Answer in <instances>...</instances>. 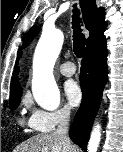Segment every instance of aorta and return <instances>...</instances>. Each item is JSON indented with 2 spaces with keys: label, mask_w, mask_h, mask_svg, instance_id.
Returning a JSON list of instances; mask_svg holds the SVG:
<instances>
[{
  "label": "aorta",
  "mask_w": 123,
  "mask_h": 152,
  "mask_svg": "<svg viewBox=\"0 0 123 152\" xmlns=\"http://www.w3.org/2000/svg\"><path fill=\"white\" fill-rule=\"evenodd\" d=\"M63 45V34L58 29L44 30L33 58V96L37 104L48 111L56 110L60 104V93L53 77V67ZM100 126L91 133L88 151L96 152L100 142Z\"/></svg>",
  "instance_id": "1"
}]
</instances>
